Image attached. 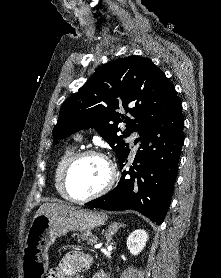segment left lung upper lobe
<instances>
[{"label":"left lung upper lobe","mask_w":221,"mask_h":278,"mask_svg":"<svg viewBox=\"0 0 221 278\" xmlns=\"http://www.w3.org/2000/svg\"><path fill=\"white\" fill-rule=\"evenodd\" d=\"M177 100L175 87L150 59L120 58L100 67L63 103L52 135L58 140L94 127L120 161L130 152L124 139L155 124ZM123 109L129 116L120 113ZM122 122L126 129L119 135Z\"/></svg>","instance_id":"obj_1"}]
</instances>
